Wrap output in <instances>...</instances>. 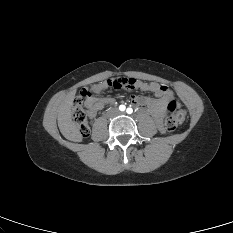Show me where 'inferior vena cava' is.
I'll use <instances>...</instances> for the list:
<instances>
[{"label": "inferior vena cava", "mask_w": 233, "mask_h": 233, "mask_svg": "<svg viewBox=\"0 0 233 233\" xmlns=\"http://www.w3.org/2000/svg\"><path fill=\"white\" fill-rule=\"evenodd\" d=\"M116 113L118 114V113H119V111L117 110V111H116Z\"/></svg>", "instance_id": "602c4592"}]
</instances>
